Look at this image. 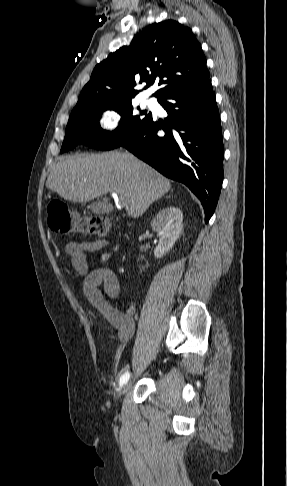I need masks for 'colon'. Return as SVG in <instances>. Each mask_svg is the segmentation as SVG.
Listing matches in <instances>:
<instances>
[{"label":"colon","instance_id":"colon-1","mask_svg":"<svg viewBox=\"0 0 287 486\" xmlns=\"http://www.w3.org/2000/svg\"><path fill=\"white\" fill-rule=\"evenodd\" d=\"M48 225L54 233L79 232L90 235H105L109 228L106 218L80 217L62 201H51L47 207Z\"/></svg>","mask_w":287,"mask_h":486}]
</instances>
